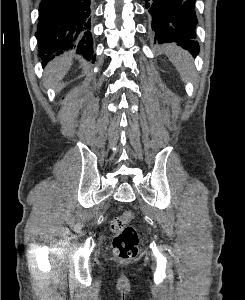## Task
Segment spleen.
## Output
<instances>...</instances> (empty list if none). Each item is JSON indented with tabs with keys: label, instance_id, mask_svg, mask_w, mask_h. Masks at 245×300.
<instances>
[{
	"label": "spleen",
	"instance_id": "obj_1",
	"mask_svg": "<svg viewBox=\"0 0 245 300\" xmlns=\"http://www.w3.org/2000/svg\"><path fill=\"white\" fill-rule=\"evenodd\" d=\"M167 56L179 71L181 77L186 80L191 75L192 65L190 55L181 49H170Z\"/></svg>",
	"mask_w": 245,
	"mask_h": 300
}]
</instances>
